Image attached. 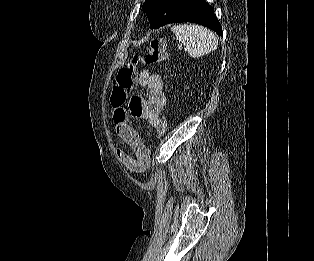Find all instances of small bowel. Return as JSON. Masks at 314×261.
<instances>
[{"instance_id":"obj_1","label":"small bowel","mask_w":314,"mask_h":261,"mask_svg":"<svg viewBox=\"0 0 314 261\" xmlns=\"http://www.w3.org/2000/svg\"><path fill=\"white\" fill-rule=\"evenodd\" d=\"M138 82L142 87L147 88L145 98L135 96L128 107L124 103L114 104L113 122L117 136L125 143L131 154L123 149L118 150V158L125 169L132 174L144 173L151 163L150 150L144 144L139 132L133 127L130 117L146 120L156 128L161 121L160 114L166 104V96L163 90L164 82L160 75L142 69L138 73Z\"/></svg>"}]
</instances>
